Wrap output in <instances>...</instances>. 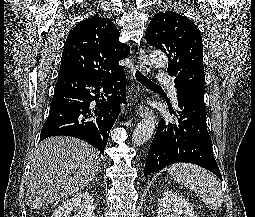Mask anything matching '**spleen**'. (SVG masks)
<instances>
[{
	"instance_id": "1",
	"label": "spleen",
	"mask_w": 255,
	"mask_h": 217,
	"mask_svg": "<svg viewBox=\"0 0 255 217\" xmlns=\"http://www.w3.org/2000/svg\"><path fill=\"white\" fill-rule=\"evenodd\" d=\"M169 174L178 183L197 193L209 209H217L223 203L219 181L207 170L188 163L173 164Z\"/></svg>"
}]
</instances>
